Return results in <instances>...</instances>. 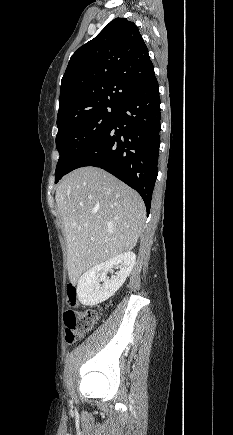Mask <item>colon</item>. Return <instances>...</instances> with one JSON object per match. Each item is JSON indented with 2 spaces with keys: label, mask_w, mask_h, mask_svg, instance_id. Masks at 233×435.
Listing matches in <instances>:
<instances>
[{
  "label": "colon",
  "mask_w": 233,
  "mask_h": 435,
  "mask_svg": "<svg viewBox=\"0 0 233 435\" xmlns=\"http://www.w3.org/2000/svg\"><path fill=\"white\" fill-rule=\"evenodd\" d=\"M78 296V284L73 282L67 285V301L74 305ZM97 311L94 309H75L66 312V341L73 344L80 340L94 325Z\"/></svg>",
  "instance_id": "obj_1"
}]
</instances>
